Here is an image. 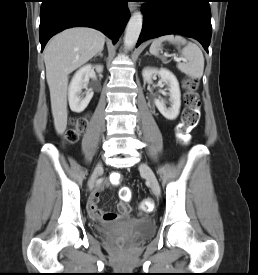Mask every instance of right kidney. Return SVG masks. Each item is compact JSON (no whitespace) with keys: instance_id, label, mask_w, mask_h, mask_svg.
Here are the masks:
<instances>
[{"instance_id":"obj_1","label":"right kidney","mask_w":258,"mask_h":275,"mask_svg":"<svg viewBox=\"0 0 258 275\" xmlns=\"http://www.w3.org/2000/svg\"><path fill=\"white\" fill-rule=\"evenodd\" d=\"M94 68L98 73H101L103 70V66L101 65L94 67L92 65H86L80 68L71 80L68 98L70 108L73 112L81 113L84 111L93 97L91 90H87L85 96H82L81 93L82 89H87L89 77L92 75Z\"/></svg>"}]
</instances>
